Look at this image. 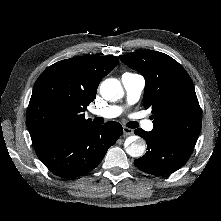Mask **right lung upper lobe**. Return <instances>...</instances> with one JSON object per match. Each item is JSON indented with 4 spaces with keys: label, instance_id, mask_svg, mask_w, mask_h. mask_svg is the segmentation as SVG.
<instances>
[{
    "label": "right lung upper lobe",
    "instance_id": "right-lung-upper-lobe-1",
    "mask_svg": "<svg viewBox=\"0 0 221 221\" xmlns=\"http://www.w3.org/2000/svg\"><path fill=\"white\" fill-rule=\"evenodd\" d=\"M116 56L89 55L56 62L37 79L26 124L33 146L71 128L92 124L84 112L100 81L118 64Z\"/></svg>",
    "mask_w": 221,
    "mask_h": 221
}]
</instances>
